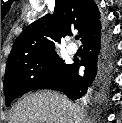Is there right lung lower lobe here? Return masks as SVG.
<instances>
[{"instance_id": "obj_1", "label": "right lung lower lobe", "mask_w": 122, "mask_h": 123, "mask_svg": "<svg viewBox=\"0 0 122 123\" xmlns=\"http://www.w3.org/2000/svg\"><path fill=\"white\" fill-rule=\"evenodd\" d=\"M100 30L92 33L82 43L84 55L81 61H74L66 73L41 89H53L77 100L86 94L97 91L102 94L110 81L111 64L98 62V57L109 52L101 41ZM84 66V75L78 74L79 66Z\"/></svg>"}]
</instances>
